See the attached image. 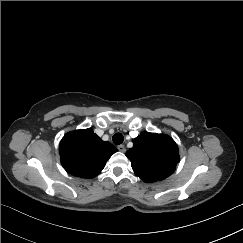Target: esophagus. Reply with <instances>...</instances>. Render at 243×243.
<instances>
[{
  "mask_svg": "<svg viewBox=\"0 0 243 243\" xmlns=\"http://www.w3.org/2000/svg\"><path fill=\"white\" fill-rule=\"evenodd\" d=\"M117 148H118V150H119L120 152H125V151H126V148H125L124 145H119Z\"/></svg>",
  "mask_w": 243,
  "mask_h": 243,
  "instance_id": "34e87169",
  "label": "esophagus"
}]
</instances>
